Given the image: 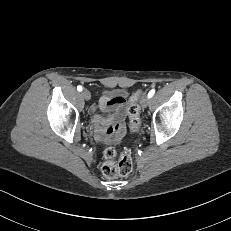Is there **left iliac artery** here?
<instances>
[{
    "label": "left iliac artery",
    "instance_id": "1",
    "mask_svg": "<svg viewBox=\"0 0 231 231\" xmlns=\"http://www.w3.org/2000/svg\"><path fill=\"white\" fill-rule=\"evenodd\" d=\"M155 93V90H151L149 93H148V98H151Z\"/></svg>",
    "mask_w": 231,
    "mask_h": 231
}]
</instances>
